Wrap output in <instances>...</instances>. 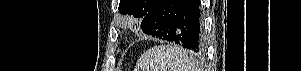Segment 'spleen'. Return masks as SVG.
<instances>
[{
  "label": "spleen",
  "mask_w": 301,
  "mask_h": 71,
  "mask_svg": "<svg viewBox=\"0 0 301 71\" xmlns=\"http://www.w3.org/2000/svg\"><path fill=\"white\" fill-rule=\"evenodd\" d=\"M141 71H197L195 58L176 46H154L138 62Z\"/></svg>",
  "instance_id": "3e777b00"
}]
</instances>
